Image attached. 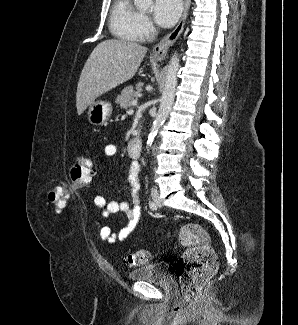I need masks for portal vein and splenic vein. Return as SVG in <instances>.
Instances as JSON below:
<instances>
[{
    "label": "portal vein and splenic vein",
    "instance_id": "portal-vein-and-splenic-vein-1",
    "mask_svg": "<svg viewBox=\"0 0 298 325\" xmlns=\"http://www.w3.org/2000/svg\"><path fill=\"white\" fill-rule=\"evenodd\" d=\"M139 96H142V94H139ZM138 100H132V104H137Z\"/></svg>",
    "mask_w": 298,
    "mask_h": 325
}]
</instances>
